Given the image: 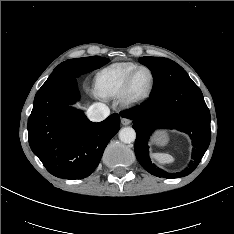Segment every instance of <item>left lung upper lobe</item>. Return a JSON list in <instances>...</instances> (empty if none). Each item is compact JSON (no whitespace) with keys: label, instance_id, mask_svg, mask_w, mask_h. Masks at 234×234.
<instances>
[{"label":"left lung upper lobe","instance_id":"obj_1","mask_svg":"<svg viewBox=\"0 0 234 234\" xmlns=\"http://www.w3.org/2000/svg\"><path fill=\"white\" fill-rule=\"evenodd\" d=\"M147 66L155 79V86L152 93H156L168 86L189 78L186 71L174 61L162 57H142L138 60Z\"/></svg>","mask_w":234,"mask_h":234}]
</instances>
